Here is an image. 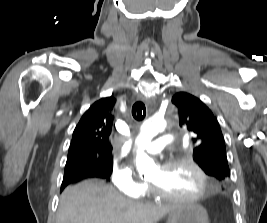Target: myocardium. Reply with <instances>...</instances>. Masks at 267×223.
Instances as JSON below:
<instances>
[{
    "label": "myocardium",
    "instance_id": "f54148a6",
    "mask_svg": "<svg viewBox=\"0 0 267 223\" xmlns=\"http://www.w3.org/2000/svg\"><path fill=\"white\" fill-rule=\"evenodd\" d=\"M181 164L188 165L196 172L201 184L199 191L192 196L178 197L163 193L154 184L150 183L151 192L156 199L170 203L194 204L201 201L206 196L208 191V177L205 171L193 159L184 156L171 157L166 159L161 167L169 168Z\"/></svg>",
    "mask_w": 267,
    "mask_h": 223
}]
</instances>
